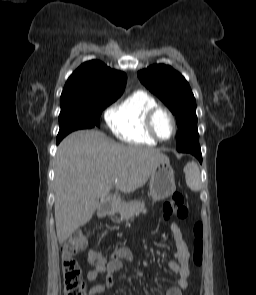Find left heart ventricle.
Here are the masks:
<instances>
[{
    "mask_svg": "<svg viewBox=\"0 0 256 295\" xmlns=\"http://www.w3.org/2000/svg\"><path fill=\"white\" fill-rule=\"evenodd\" d=\"M155 129L160 137L168 139L173 131L172 122L164 113H159L155 119Z\"/></svg>",
    "mask_w": 256,
    "mask_h": 295,
    "instance_id": "b2bd125f",
    "label": "left heart ventricle"
}]
</instances>
